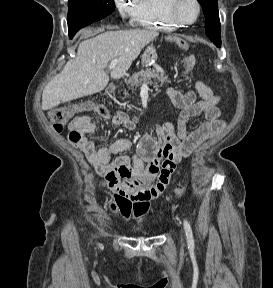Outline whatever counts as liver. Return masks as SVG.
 <instances>
[{"instance_id":"obj_1","label":"liver","mask_w":273,"mask_h":288,"mask_svg":"<svg viewBox=\"0 0 273 288\" xmlns=\"http://www.w3.org/2000/svg\"><path fill=\"white\" fill-rule=\"evenodd\" d=\"M158 35L155 30L107 31L81 42L76 58L68 61L45 86L42 109L49 110L61 103L102 91L109 81L105 71L108 63L115 58L118 60L110 76L120 79L141 50Z\"/></svg>"}]
</instances>
